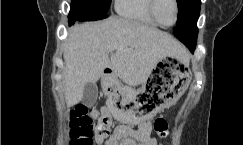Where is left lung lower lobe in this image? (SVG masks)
I'll return each instance as SVG.
<instances>
[{
	"label": "left lung lower lobe",
	"instance_id": "obj_1",
	"mask_svg": "<svg viewBox=\"0 0 243 145\" xmlns=\"http://www.w3.org/2000/svg\"><path fill=\"white\" fill-rule=\"evenodd\" d=\"M177 25H180L185 30V32L178 39L183 42L191 52H193L196 47L198 34L196 25L190 24L186 19L179 21Z\"/></svg>",
	"mask_w": 243,
	"mask_h": 145
}]
</instances>
